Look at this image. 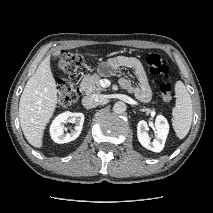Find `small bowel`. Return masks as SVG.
<instances>
[{
	"label": "small bowel",
	"mask_w": 213,
	"mask_h": 213,
	"mask_svg": "<svg viewBox=\"0 0 213 213\" xmlns=\"http://www.w3.org/2000/svg\"><path fill=\"white\" fill-rule=\"evenodd\" d=\"M122 67L134 70L137 83H132L127 78H121V87L133 92L139 100L148 101L151 97V88L142 63L135 57L116 56L110 59L106 66L108 73L114 72Z\"/></svg>",
	"instance_id": "small-bowel-1"
}]
</instances>
